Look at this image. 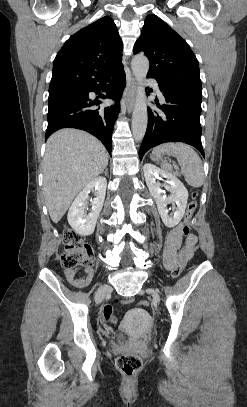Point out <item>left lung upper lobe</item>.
Masks as SVG:
<instances>
[{"label": "left lung upper lobe", "mask_w": 247, "mask_h": 407, "mask_svg": "<svg viewBox=\"0 0 247 407\" xmlns=\"http://www.w3.org/2000/svg\"><path fill=\"white\" fill-rule=\"evenodd\" d=\"M133 51L149 58L148 76L201 88L198 61L190 46L158 16L146 17Z\"/></svg>", "instance_id": "1"}]
</instances>
